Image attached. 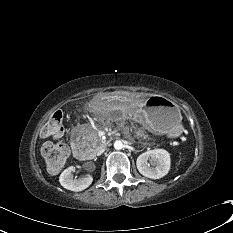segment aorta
I'll use <instances>...</instances> for the list:
<instances>
[{"label": "aorta", "instance_id": "aorta-1", "mask_svg": "<svg viewBox=\"0 0 233 233\" xmlns=\"http://www.w3.org/2000/svg\"><path fill=\"white\" fill-rule=\"evenodd\" d=\"M123 146H124V145H123L122 141H120V140H117V141H115V143H114V148H115L116 150L122 149Z\"/></svg>", "mask_w": 233, "mask_h": 233}]
</instances>
